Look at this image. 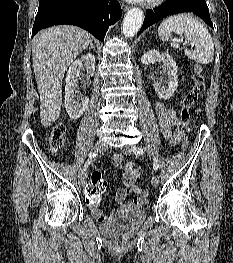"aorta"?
Returning <instances> with one entry per match:
<instances>
[{
	"mask_svg": "<svg viewBox=\"0 0 233 263\" xmlns=\"http://www.w3.org/2000/svg\"><path fill=\"white\" fill-rule=\"evenodd\" d=\"M143 23V12L139 8L130 9L124 18L122 33L126 37H133L141 28Z\"/></svg>",
	"mask_w": 233,
	"mask_h": 263,
	"instance_id": "obj_1",
	"label": "aorta"
}]
</instances>
